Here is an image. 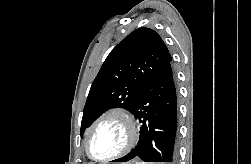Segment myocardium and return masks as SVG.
I'll return each mask as SVG.
<instances>
[{
    "instance_id": "1",
    "label": "myocardium",
    "mask_w": 251,
    "mask_h": 164,
    "mask_svg": "<svg viewBox=\"0 0 251 164\" xmlns=\"http://www.w3.org/2000/svg\"><path fill=\"white\" fill-rule=\"evenodd\" d=\"M109 118H117L125 125L127 131V139L125 145L120 151L111 156L101 159L95 158L91 155L90 152L89 148L90 138L92 136L93 131L98 127V125L102 123L104 120ZM138 139H139V129L133 115L124 108L116 107L100 115L89 127L85 138V151L87 156L94 162L105 163L127 155L135 147V145L138 142Z\"/></svg>"
}]
</instances>
